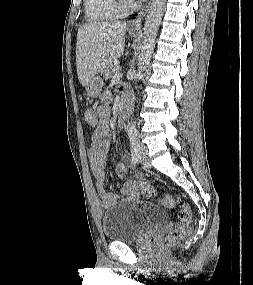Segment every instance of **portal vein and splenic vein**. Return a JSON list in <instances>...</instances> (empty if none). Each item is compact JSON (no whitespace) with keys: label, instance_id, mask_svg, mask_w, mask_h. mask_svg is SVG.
Here are the masks:
<instances>
[{"label":"portal vein and splenic vein","instance_id":"obj_1","mask_svg":"<svg viewBox=\"0 0 253 285\" xmlns=\"http://www.w3.org/2000/svg\"><path fill=\"white\" fill-rule=\"evenodd\" d=\"M122 76H123L122 73H120V72L116 73V74L113 76L111 82H112V83L118 82V81L122 78Z\"/></svg>","mask_w":253,"mask_h":285}]
</instances>
